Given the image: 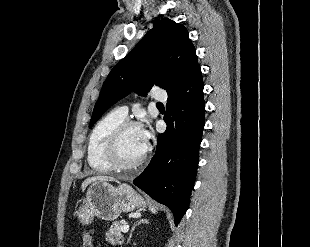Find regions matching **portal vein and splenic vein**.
<instances>
[{
	"label": "portal vein and splenic vein",
	"mask_w": 310,
	"mask_h": 247,
	"mask_svg": "<svg viewBox=\"0 0 310 247\" xmlns=\"http://www.w3.org/2000/svg\"><path fill=\"white\" fill-rule=\"evenodd\" d=\"M128 230H129V225H124L122 227V232L126 233V232H128Z\"/></svg>",
	"instance_id": "obj_1"
}]
</instances>
